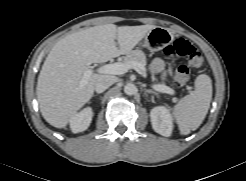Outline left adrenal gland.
<instances>
[{
  "label": "left adrenal gland",
  "instance_id": "a2214340",
  "mask_svg": "<svg viewBox=\"0 0 246 181\" xmlns=\"http://www.w3.org/2000/svg\"><path fill=\"white\" fill-rule=\"evenodd\" d=\"M145 92H147V93H149V94H153V95L157 96V93H156V92H154V91H153V90H151V89H145Z\"/></svg>",
  "mask_w": 246,
  "mask_h": 181
}]
</instances>
